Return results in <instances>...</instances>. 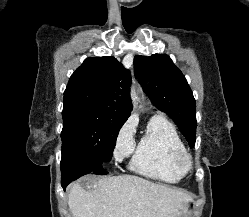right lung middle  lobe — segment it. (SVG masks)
<instances>
[{
    "label": "right lung middle lobe",
    "instance_id": "1",
    "mask_svg": "<svg viewBox=\"0 0 249 217\" xmlns=\"http://www.w3.org/2000/svg\"><path fill=\"white\" fill-rule=\"evenodd\" d=\"M62 148L75 149L109 162L116 138L127 118L115 111L87 101H64Z\"/></svg>",
    "mask_w": 249,
    "mask_h": 217
}]
</instances>
